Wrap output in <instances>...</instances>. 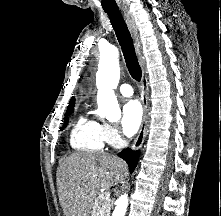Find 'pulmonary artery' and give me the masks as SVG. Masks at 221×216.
<instances>
[{
	"label": "pulmonary artery",
	"mask_w": 221,
	"mask_h": 216,
	"mask_svg": "<svg viewBox=\"0 0 221 216\" xmlns=\"http://www.w3.org/2000/svg\"><path fill=\"white\" fill-rule=\"evenodd\" d=\"M119 91L125 97H130L134 93L133 88L131 87V85H129L127 83H124V84L120 85Z\"/></svg>",
	"instance_id": "obj_1"
}]
</instances>
